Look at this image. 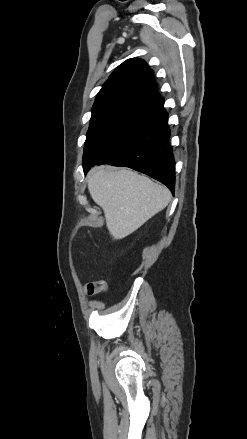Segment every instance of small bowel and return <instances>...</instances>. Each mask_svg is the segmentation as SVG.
I'll list each match as a JSON object with an SVG mask.
<instances>
[{"label":"small bowel","mask_w":247,"mask_h":439,"mask_svg":"<svg viewBox=\"0 0 247 439\" xmlns=\"http://www.w3.org/2000/svg\"><path fill=\"white\" fill-rule=\"evenodd\" d=\"M107 283L105 281L90 282L85 285L83 291L88 295H96L106 291Z\"/></svg>","instance_id":"1"}]
</instances>
